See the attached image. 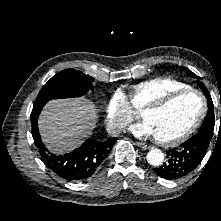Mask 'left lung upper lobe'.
<instances>
[{
	"mask_svg": "<svg viewBox=\"0 0 221 221\" xmlns=\"http://www.w3.org/2000/svg\"><path fill=\"white\" fill-rule=\"evenodd\" d=\"M182 69L189 74L191 77L197 78V75L191 72L188 68L182 67ZM199 86L201 87L203 93L205 94L207 100H208V113L206 115V118L198 132V134L206 135L208 137V142L210 143V140L213 136V130L215 125V117H214V105L211 99V96L205 87V85L202 82H199Z\"/></svg>",
	"mask_w": 221,
	"mask_h": 221,
	"instance_id": "5c2ea615",
	"label": "left lung upper lobe"
}]
</instances>
